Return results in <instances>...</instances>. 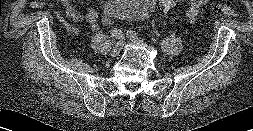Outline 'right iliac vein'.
I'll use <instances>...</instances> for the list:
<instances>
[{"instance_id":"obj_1","label":"right iliac vein","mask_w":253,"mask_h":131,"mask_svg":"<svg viewBox=\"0 0 253 131\" xmlns=\"http://www.w3.org/2000/svg\"><path fill=\"white\" fill-rule=\"evenodd\" d=\"M124 46L123 41H119L113 48L112 52H111V57L115 58L117 57L120 52L122 51V48Z\"/></svg>"}]
</instances>
